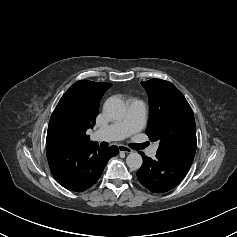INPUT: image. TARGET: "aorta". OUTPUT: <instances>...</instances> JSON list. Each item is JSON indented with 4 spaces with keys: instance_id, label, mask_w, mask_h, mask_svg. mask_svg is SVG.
<instances>
[{
    "instance_id": "762f6f07",
    "label": "aorta",
    "mask_w": 237,
    "mask_h": 237,
    "mask_svg": "<svg viewBox=\"0 0 237 237\" xmlns=\"http://www.w3.org/2000/svg\"><path fill=\"white\" fill-rule=\"evenodd\" d=\"M104 112L113 119H122L126 115V105L119 97L112 96L106 100L103 106ZM143 159L137 152H131L126 158V164L130 169L137 170L142 166Z\"/></svg>"
}]
</instances>
